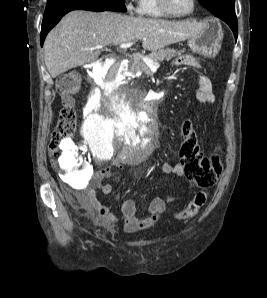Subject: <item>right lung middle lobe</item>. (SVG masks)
Returning <instances> with one entry per match:
<instances>
[{"label": "right lung middle lobe", "mask_w": 267, "mask_h": 298, "mask_svg": "<svg viewBox=\"0 0 267 298\" xmlns=\"http://www.w3.org/2000/svg\"><path fill=\"white\" fill-rule=\"evenodd\" d=\"M78 1L93 3L112 11H126L124 0H47V5L43 18L51 15L55 10L59 9L60 7L66 4Z\"/></svg>", "instance_id": "right-lung-middle-lobe-1"}]
</instances>
